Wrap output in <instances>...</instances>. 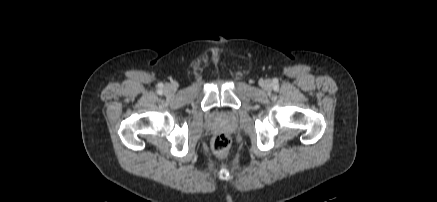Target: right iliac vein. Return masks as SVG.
Masks as SVG:
<instances>
[{
  "label": "right iliac vein",
  "mask_w": 437,
  "mask_h": 202,
  "mask_svg": "<svg viewBox=\"0 0 437 202\" xmlns=\"http://www.w3.org/2000/svg\"><path fill=\"white\" fill-rule=\"evenodd\" d=\"M175 91H176V87L172 85L166 86L165 88V92L167 94H173Z\"/></svg>",
  "instance_id": "obj_1"
}]
</instances>
